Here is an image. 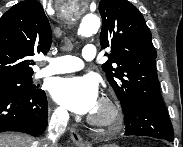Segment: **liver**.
I'll return each instance as SVG.
<instances>
[{
    "mask_svg": "<svg viewBox=\"0 0 183 147\" xmlns=\"http://www.w3.org/2000/svg\"><path fill=\"white\" fill-rule=\"evenodd\" d=\"M34 139L18 133L0 134V147H35Z\"/></svg>",
    "mask_w": 183,
    "mask_h": 147,
    "instance_id": "6515ba94",
    "label": "liver"
}]
</instances>
